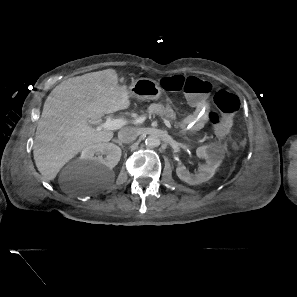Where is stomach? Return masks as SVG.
<instances>
[{
  "mask_svg": "<svg viewBox=\"0 0 297 297\" xmlns=\"http://www.w3.org/2000/svg\"><path fill=\"white\" fill-rule=\"evenodd\" d=\"M158 83L149 78L134 80L128 88L129 96L140 100H156L161 95Z\"/></svg>",
  "mask_w": 297,
  "mask_h": 297,
  "instance_id": "obj_1",
  "label": "stomach"
}]
</instances>
